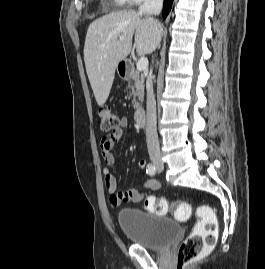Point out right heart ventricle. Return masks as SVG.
<instances>
[{
	"instance_id": "e07e8e85",
	"label": "right heart ventricle",
	"mask_w": 265,
	"mask_h": 269,
	"mask_svg": "<svg viewBox=\"0 0 265 269\" xmlns=\"http://www.w3.org/2000/svg\"><path fill=\"white\" fill-rule=\"evenodd\" d=\"M117 5L122 6L125 4L124 0H113Z\"/></svg>"
}]
</instances>
